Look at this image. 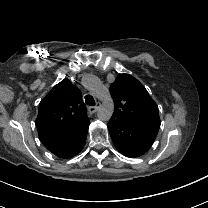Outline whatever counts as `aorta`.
I'll use <instances>...</instances> for the list:
<instances>
[{
	"label": "aorta",
	"instance_id": "obj_1",
	"mask_svg": "<svg viewBox=\"0 0 208 208\" xmlns=\"http://www.w3.org/2000/svg\"><path fill=\"white\" fill-rule=\"evenodd\" d=\"M113 113V104H110L109 107L103 103L98 108V118L103 121L110 119Z\"/></svg>",
	"mask_w": 208,
	"mask_h": 208
}]
</instances>
